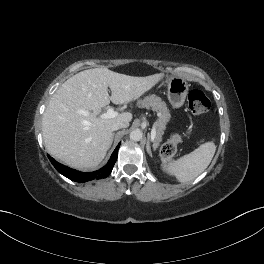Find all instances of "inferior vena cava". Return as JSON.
<instances>
[{
	"label": "inferior vena cava",
	"instance_id": "obj_1",
	"mask_svg": "<svg viewBox=\"0 0 264 264\" xmlns=\"http://www.w3.org/2000/svg\"><path fill=\"white\" fill-rule=\"evenodd\" d=\"M127 127L126 123L124 122H120V123H115L113 126H112V131H116L118 129H121V128H125Z\"/></svg>",
	"mask_w": 264,
	"mask_h": 264
}]
</instances>
